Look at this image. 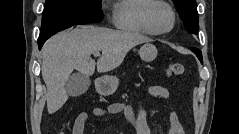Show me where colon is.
<instances>
[{"instance_id":"obj_1","label":"colon","mask_w":239,"mask_h":134,"mask_svg":"<svg viewBox=\"0 0 239 134\" xmlns=\"http://www.w3.org/2000/svg\"><path fill=\"white\" fill-rule=\"evenodd\" d=\"M165 74L170 79L180 78L184 74V66L179 62H172L165 68Z\"/></svg>"}]
</instances>
